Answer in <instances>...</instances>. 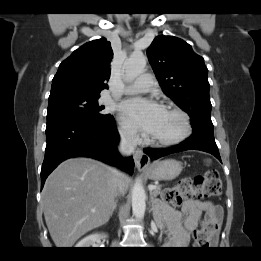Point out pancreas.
Listing matches in <instances>:
<instances>
[{
    "instance_id": "1",
    "label": "pancreas",
    "mask_w": 261,
    "mask_h": 261,
    "mask_svg": "<svg viewBox=\"0 0 261 261\" xmlns=\"http://www.w3.org/2000/svg\"><path fill=\"white\" fill-rule=\"evenodd\" d=\"M161 192V188L158 186V188L154 189L153 191H151V195L153 197H156L157 195H159Z\"/></svg>"
}]
</instances>
